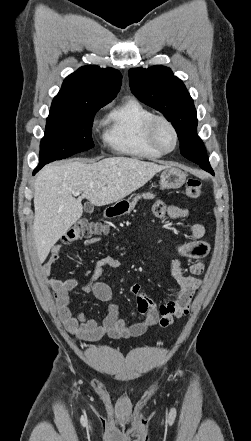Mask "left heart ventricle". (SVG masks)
Returning a JSON list of instances; mask_svg holds the SVG:
<instances>
[{
    "mask_svg": "<svg viewBox=\"0 0 251 441\" xmlns=\"http://www.w3.org/2000/svg\"><path fill=\"white\" fill-rule=\"evenodd\" d=\"M157 140L163 149H171L174 145V135L172 130L165 124H159L157 128Z\"/></svg>",
    "mask_w": 251,
    "mask_h": 441,
    "instance_id": "obj_1",
    "label": "left heart ventricle"
}]
</instances>
